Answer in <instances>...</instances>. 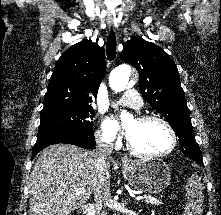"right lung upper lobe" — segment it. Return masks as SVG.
Masks as SVG:
<instances>
[{"label":"right lung upper lobe","instance_id":"obj_1","mask_svg":"<svg viewBox=\"0 0 221 215\" xmlns=\"http://www.w3.org/2000/svg\"><path fill=\"white\" fill-rule=\"evenodd\" d=\"M103 47L84 40L66 50L59 58L44 96L42 114L91 107L105 75Z\"/></svg>","mask_w":221,"mask_h":215}]
</instances>
